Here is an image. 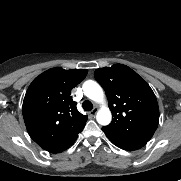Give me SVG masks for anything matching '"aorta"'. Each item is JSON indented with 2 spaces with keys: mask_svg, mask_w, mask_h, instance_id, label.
<instances>
[{
  "mask_svg": "<svg viewBox=\"0 0 181 181\" xmlns=\"http://www.w3.org/2000/svg\"><path fill=\"white\" fill-rule=\"evenodd\" d=\"M84 94L91 100L102 104L101 109L98 111L96 119L101 125H108L111 122V112L109 108L105 106L104 93L100 85L92 80L84 82L83 86Z\"/></svg>",
  "mask_w": 181,
  "mask_h": 181,
  "instance_id": "obj_1",
  "label": "aorta"
}]
</instances>
